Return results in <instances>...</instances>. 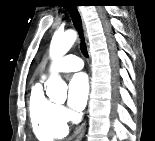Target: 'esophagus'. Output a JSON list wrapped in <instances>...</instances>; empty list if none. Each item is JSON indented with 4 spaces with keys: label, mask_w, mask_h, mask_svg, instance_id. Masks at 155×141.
<instances>
[{
    "label": "esophagus",
    "mask_w": 155,
    "mask_h": 141,
    "mask_svg": "<svg viewBox=\"0 0 155 141\" xmlns=\"http://www.w3.org/2000/svg\"><path fill=\"white\" fill-rule=\"evenodd\" d=\"M83 30H84V33L86 31V28H85V25L83 23ZM84 132H85V123H83L75 132L74 136H77V139H81L84 135Z\"/></svg>",
    "instance_id": "obj_1"
}]
</instances>
